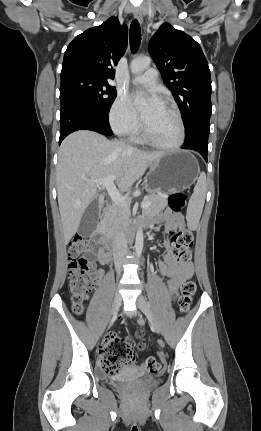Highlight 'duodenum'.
Masks as SVG:
<instances>
[{
  "label": "duodenum",
  "mask_w": 261,
  "mask_h": 431,
  "mask_svg": "<svg viewBox=\"0 0 261 431\" xmlns=\"http://www.w3.org/2000/svg\"><path fill=\"white\" fill-rule=\"evenodd\" d=\"M106 209H107L106 206H104L102 209V216L106 212ZM137 230L138 228L136 227L129 228L126 232L127 239H132ZM93 238L106 251L108 257L111 258L113 247H114V240L112 236L108 233L103 219H101L100 222L98 223L97 229Z\"/></svg>",
  "instance_id": "duodenum-1"
}]
</instances>
